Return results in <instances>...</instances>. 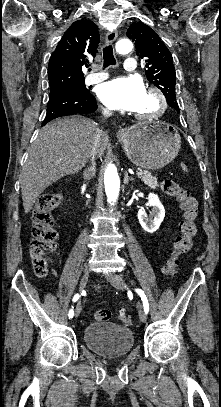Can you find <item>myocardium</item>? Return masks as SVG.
Returning a JSON list of instances; mask_svg holds the SVG:
<instances>
[{
    "label": "myocardium",
    "mask_w": 221,
    "mask_h": 407,
    "mask_svg": "<svg viewBox=\"0 0 221 407\" xmlns=\"http://www.w3.org/2000/svg\"><path fill=\"white\" fill-rule=\"evenodd\" d=\"M146 92L153 96L156 100L157 107L151 113H135V117L140 120H153L157 119L164 114L167 108V100L161 89L155 86L147 88Z\"/></svg>",
    "instance_id": "obj_1"
}]
</instances>
